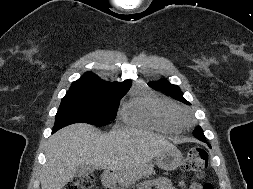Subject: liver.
<instances>
[{
    "instance_id": "obj_1",
    "label": "liver",
    "mask_w": 253,
    "mask_h": 189,
    "mask_svg": "<svg viewBox=\"0 0 253 189\" xmlns=\"http://www.w3.org/2000/svg\"><path fill=\"white\" fill-rule=\"evenodd\" d=\"M172 148L176 147L165 137L143 130L115 128L101 133L89 124H72L49 139L41 188L62 189L80 164L121 171L127 184L134 183L146 173L149 162Z\"/></svg>"
}]
</instances>
